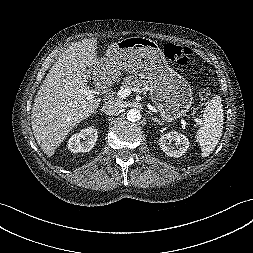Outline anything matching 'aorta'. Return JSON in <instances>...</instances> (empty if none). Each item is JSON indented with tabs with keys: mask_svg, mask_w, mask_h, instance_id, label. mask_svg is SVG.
I'll use <instances>...</instances> for the list:
<instances>
[{
	"mask_svg": "<svg viewBox=\"0 0 253 253\" xmlns=\"http://www.w3.org/2000/svg\"><path fill=\"white\" fill-rule=\"evenodd\" d=\"M141 118V113L138 109H130L127 113V119L131 122L138 121Z\"/></svg>",
	"mask_w": 253,
	"mask_h": 253,
	"instance_id": "aorta-1",
	"label": "aorta"
}]
</instances>
